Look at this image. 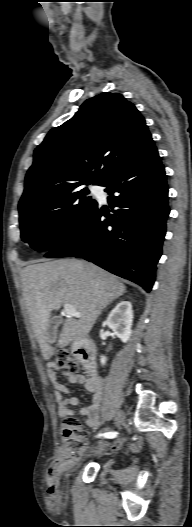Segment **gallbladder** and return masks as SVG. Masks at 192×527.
Masks as SVG:
<instances>
[{"label":"gallbladder","mask_w":192,"mask_h":527,"mask_svg":"<svg viewBox=\"0 0 192 527\" xmlns=\"http://www.w3.org/2000/svg\"><path fill=\"white\" fill-rule=\"evenodd\" d=\"M62 322L63 320L61 316H55L50 319L48 325V338L50 344L55 343L57 338L58 327L62 324Z\"/></svg>","instance_id":"obj_1"}]
</instances>
